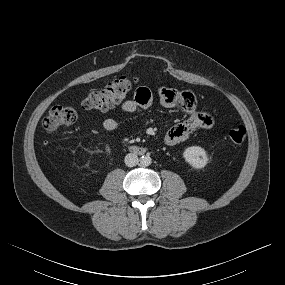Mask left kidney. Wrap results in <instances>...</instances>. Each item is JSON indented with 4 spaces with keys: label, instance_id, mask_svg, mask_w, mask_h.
<instances>
[{
    "label": "left kidney",
    "instance_id": "obj_1",
    "mask_svg": "<svg viewBox=\"0 0 285 285\" xmlns=\"http://www.w3.org/2000/svg\"><path fill=\"white\" fill-rule=\"evenodd\" d=\"M185 161L195 169L204 168L208 163L206 151L200 146H191L183 152Z\"/></svg>",
    "mask_w": 285,
    "mask_h": 285
}]
</instances>
